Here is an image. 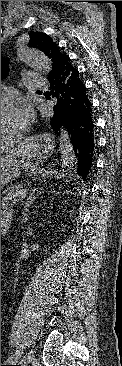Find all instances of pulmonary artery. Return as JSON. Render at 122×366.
Here are the masks:
<instances>
[{"label": "pulmonary artery", "mask_w": 122, "mask_h": 366, "mask_svg": "<svg viewBox=\"0 0 122 366\" xmlns=\"http://www.w3.org/2000/svg\"><path fill=\"white\" fill-rule=\"evenodd\" d=\"M23 77L32 88H44L46 86V81L35 72H26Z\"/></svg>", "instance_id": "pulmonary-artery-1"}]
</instances>
